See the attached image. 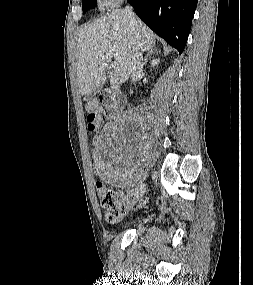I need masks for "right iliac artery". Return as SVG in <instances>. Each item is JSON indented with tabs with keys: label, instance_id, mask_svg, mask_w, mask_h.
I'll return each instance as SVG.
<instances>
[{
	"label": "right iliac artery",
	"instance_id": "1",
	"mask_svg": "<svg viewBox=\"0 0 253 285\" xmlns=\"http://www.w3.org/2000/svg\"><path fill=\"white\" fill-rule=\"evenodd\" d=\"M132 195H133V190L131 189V190L128 191V196L130 197Z\"/></svg>",
	"mask_w": 253,
	"mask_h": 285
}]
</instances>
